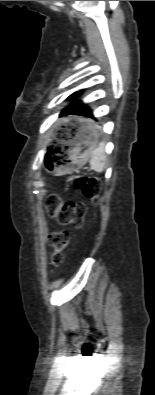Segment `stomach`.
I'll list each match as a JSON object with an SVG mask.
<instances>
[{"instance_id":"obj_1","label":"stomach","mask_w":155,"mask_h":395,"mask_svg":"<svg viewBox=\"0 0 155 395\" xmlns=\"http://www.w3.org/2000/svg\"><path fill=\"white\" fill-rule=\"evenodd\" d=\"M91 128V126L82 127L72 140L65 142L69 147L66 151L67 157L57 170L72 172L86 163L93 150L97 148V132L95 130L91 132Z\"/></svg>"}]
</instances>
